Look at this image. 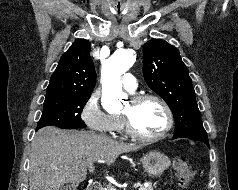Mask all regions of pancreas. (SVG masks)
<instances>
[{"label":"pancreas","mask_w":238,"mask_h":190,"mask_svg":"<svg viewBox=\"0 0 238 190\" xmlns=\"http://www.w3.org/2000/svg\"><path fill=\"white\" fill-rule=\"evenodd\" d=\"M114 187L111 185H107L106 189H101V190H113ZM139 190H153V186L150 183L148 186H140Z\"/></svg>","instance_id":"cf45deb5"}]
</instances>
